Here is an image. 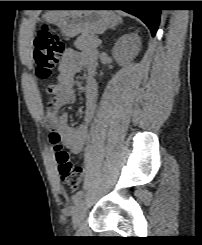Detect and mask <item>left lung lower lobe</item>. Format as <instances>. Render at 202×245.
<instances>
[{
  "instance_id": "0a47b994",
  "label": "left lung lower lobe",
  "mask_w": 202,
  "mask_h": 245,
  "mask_svg": "<svg viewBox=\"0 0 202 245\" xmlns=\"http://www.w3.org/2000/svg\"><path fill=\"white\" fill-rule=\"evenodd\" d=\"M86 6L111 5L123 7L121 10L141 19L155 36L160 20L161 10L146 8L145 1H84Z\"/></svg>"
}]
</instances>
